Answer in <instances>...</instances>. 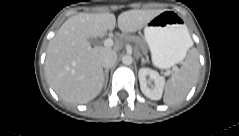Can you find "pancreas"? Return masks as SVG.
<instances>
[{
	"label": "pancreas",
	"instance_id": "1",
	"mask_svg": "<svg viewBox=\"0 0 239 136\" xmlns=\"http://www.w3.org/2000/svg\"><path fill=\"white\" fill-rule=\"evenodd\" d=\"M124 38H125V40H127L129 42L140 43V39L138 37H135V36L126 35Z\"/></svg>",
	"mask_w": 239,
	"mask_h": 136
}]
</instances>
